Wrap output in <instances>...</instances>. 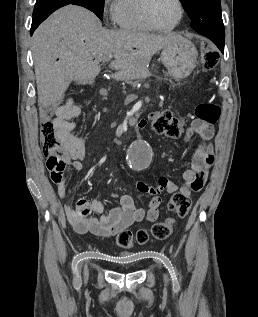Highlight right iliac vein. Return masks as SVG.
<instances>
[{
    "label": "right iliac vein",
    "mask_w": 258,
    "mask_h": 317,
    "mask_svg": "<svg viewBox=\"0 0 258 317\" xmlns=\"http://www.w3.org/2000/svg\"><path fill=\"white\" fill-rule=\"evenodd\" d=\"M88 270H89V267L85 265V266H84V271H85L84 274H85V275L87 274L86 271H88Z\"/></svg>",
    "instance_id": "1"
}]
</instances>
